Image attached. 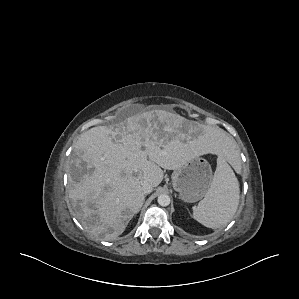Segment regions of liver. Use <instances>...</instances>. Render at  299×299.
<instances>
[{
  "instance_id": "1",
  "label": "liver",
  "mask_w": 299,
  "mask_h": 299,
  "mask_svg": "<svg viewBox=\"0 0 299 299\" xmlns=\"http://www.w3.org/2000/svg\"><path fill=\"white\" fill-rule=\"evenodd\" d=\"M184 124L180 115L156 110L81 134L68 193L76 218L90 234L116 239L144 203L142 181L157 187L164 176L161 168L176 170L201 155L226 153L233 143L218 128L192 137ZM84 169L75 181L72 175Z\"/></svg>"
}]
</instances>
